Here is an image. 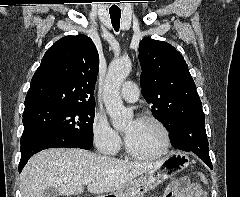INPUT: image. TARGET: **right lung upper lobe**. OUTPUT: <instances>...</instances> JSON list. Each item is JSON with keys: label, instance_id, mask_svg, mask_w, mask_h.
<instances>
[{"label": "right lung upper lobe", "instance_id": "right-lung-upper-lobe-1", "mask_svg": "<svg viewBox=\"0 0 240 197\" xmlns=\"http://www.w3.org/2000/svg\"><path fill=\"white\" fill-rule=\"evenodd\" d=\"M99 55L85 35L65 36L45 53L31 80L24 111L47 105L95 106Z\"/></svg>", "mask_w": 240, "mask_h": 197}]
</instances>
